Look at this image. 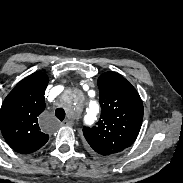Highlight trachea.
<instances>
[{"instance_id":"3493384b","label":"trachea","mask_w":183,"mask_h":183,"mask_svg":"<svg viewBox=\"0 0 183 183\" xmlns=\"http://www.w3.org/2000/svg\"><path fill=\"white\" fill-rule=\"evenodd\" d=\"M55 115H56V117H57L60 121H63L64 118H65V111H64V109H62V108H57V109L55 110Z\"/></svg>"}]
</instances>
